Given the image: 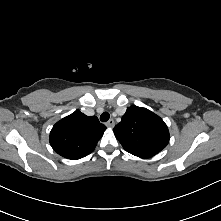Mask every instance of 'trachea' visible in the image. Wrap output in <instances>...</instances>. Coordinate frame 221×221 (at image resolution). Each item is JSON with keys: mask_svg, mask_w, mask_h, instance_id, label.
<instances>
[{"mask_svg": "<svg viewBox=\"0 0 221 221\" xmlns=\"http://www.w3.org/2000/svg\"><path fill=\"white\" fill-rule=\"evenodd\" d=\"M109 118H110V114H109L108 112H104V113H102L101 116H100V120H101L102 122L108 121Z\"/></svg>", "mask_w": 221, "mask_h": 221, "instance_id": "obj_1", "label": "trachea"}]
</instances>
